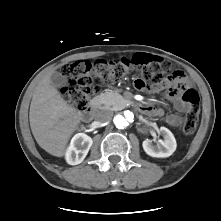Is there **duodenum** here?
Returning a JSON list of instances; mask_svg holds the SVG:
<instances>
[{
	"mask_svg": "<svg viewBox=\"0 0 221 221\" xmlns=\"http://www.w3.org/2000/svg\"><path fill=\"white\" fill-rule=\"evenodd\" d=\"M98 104H99V97L97 95H95L90 100L89 108L84 110L81 113L82 119L83 120H89L92 116V113H93L94 109L98 106ZM138 109L140 111H145V108H143V107H138Z\"/></svg>",
	"mask_w": 221,
	"mask_h": 221,
	"instance_id": "410a0bca",
	"label": "duodenum"
}]
</instances>
